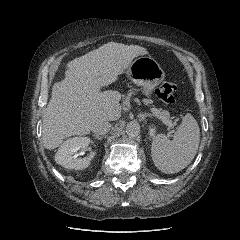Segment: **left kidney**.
I'll use <instances>...</instances> for the list:
<instances>
[{
	"label": "left kidney",
	"mask_w": 240,
	"mask_h": 240,
	"mask_svg": "<svg viewBox=\"0 0 240 240\" xmlns=\"http://www.w3.org/2000/svg\"><path fill=\"white\" fill-rule=\"evenodd\" d=\"M156 134V127L154 125L149 126V135L150 137L154 138Z\"/></svg>",
	"instance_id": "5707ae66"
}]
</instances>
